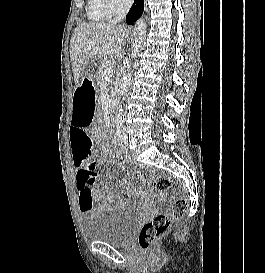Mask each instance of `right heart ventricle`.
<instances>
[{
  "label": "right heart ventricle",
  "instance_id": "1",
  "mask_svg": "<svg viewBox=\"0 0 265 273\" xmlns=\"http://www.w3.org/2000/svg\"><path fill=\"white\" fill-rule=\"evenodd\" d=\"M88 15L93 20L107 19L111 16V14L99 5L97 0H89Z\"/></svg>",
  "mask_w": 265,
  "mask_h": 273
}]
</instances>
